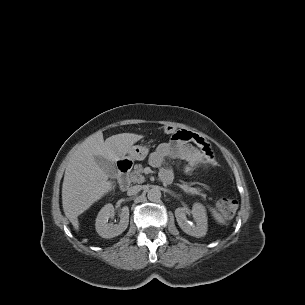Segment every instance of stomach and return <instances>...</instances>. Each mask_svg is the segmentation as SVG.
<instances>
[{
	"label": "stomach",
	"mask_w": 305,
	"mask_h": 305,
	"mask_svg": "<svg viewBox=\"0 0 305 305\" xmlns=\"http://www.w3.org/2000/svg\"><path fill=\"white\" fill-rule=\"evenodd\" d=\"M149 153V148L143 145L132 146L128 151V156H125L124 159L130 161H142L144 160Z\"/></svg>",
	"instance_id": "stomach-1"
}]
</instances>
